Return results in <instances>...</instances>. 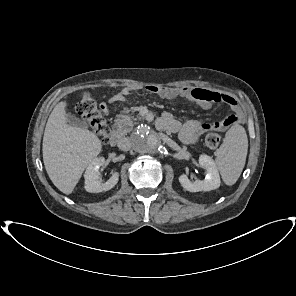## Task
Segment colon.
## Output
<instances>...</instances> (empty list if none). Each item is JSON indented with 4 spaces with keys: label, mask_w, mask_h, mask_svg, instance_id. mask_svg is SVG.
Returning a JSON list of instances; mask_svg holds the SVG:
<instances>
[{
    "label": "colon",
    "mask_w": 296,
    "mask_h": 296,
    "mask_svg": "<svg viewBox=\"0 0 296 296\" xmlns=\"http://www.w3.org/2000/svg\"><path fill=\"white\" fill-rule=\"evenodd\" d=\"M76 112L90 128L98 135L100 140L107 144L109 141V127L103 117V109L88 92L81 95L80 101L76 105ZM222 140V135L211 132L205 137V144L209 148H216Z\"/></svg>",
    "instance_id": "obj_1"
}]
</instances>
